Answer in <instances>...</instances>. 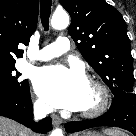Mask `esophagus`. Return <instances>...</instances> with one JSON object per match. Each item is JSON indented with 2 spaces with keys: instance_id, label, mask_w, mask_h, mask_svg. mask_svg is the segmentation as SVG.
Wrapping results in <instances>:
<instances>
[{
  "instance_id": "obj_1",
  "label": "esophagus",
  "mask_w": 136,
  "mask_h": 136,
  "mask_svg": "<svg viewBox=\"0 0 136 136\" xmlns=\"http://www.w3.org/2000/svg\"><path fill=\"white\" fill-rule=\"evenodd\" d=\"M52 122H53L54 126H58V125H60L62 123V120L60 119L59 116L53 114L52 115Z\"/></svg>"
}]
</instances>
